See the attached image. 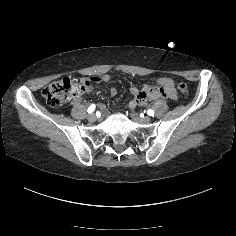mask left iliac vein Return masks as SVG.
Instances as JSON below:
<instances>
[{
    "mask_svg": "<svg viewBox=\"0 0 236 236\" xmlns=\"http://www.w3.org/2000/svg\"><path fill=\"white\" fill-rule=\"evenodd\" d=\"M131 117L136 122H143V123H149L151 121V118L149 116L140 117L137 113L132 112Z\"/></svg>",
    "mask_w": 236,
    "mask_h": 236,
    "instance_id": "4c4485c4",
    "label": "left iliac vein"
}]
</instances>
